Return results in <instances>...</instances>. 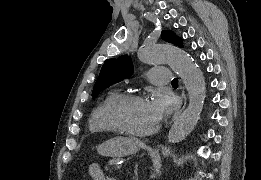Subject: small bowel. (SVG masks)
<instances>
[{
  "label": "small bowel",
  "instance_id": "small-bowel-1",
  "mask_svg": "<svg viewBox=\"0 0 261 180\" xmlns=\"http://www.w3.org/2000/svg\"><path fill=\"white\" fill-rule=\"evenodd\" d=\"M88 174L93 180H105L104 173L98 164H90L88 167Z\"/></svg>",
  "mask_w": 261,
  "mask_h": 180
}]
</instances>
